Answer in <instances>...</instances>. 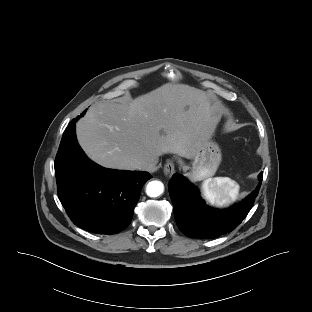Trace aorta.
Wrapping results in <instances>:
<instances>
[{
  "mask_svg": "<svg viewBox=\"0 0 312 312\" xmlns=\"http://www.w3.org/2000/svg\"><path fill=\"white\" fill-rule=\"evenodd\" d=\"M164 191V185L161 181H151L147 184L146 187V194L149 197H158L160 196Z\"/></svg>",
  "mask_w": 312,
  "mask_h": 312,
  "instance_id": "obj_1",
  "label": "aorta"
}]
</instances>
